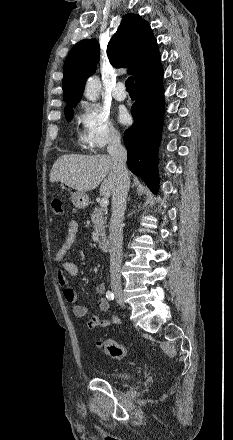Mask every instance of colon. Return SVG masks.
<instances>
[{
	"label": "colon",
	"instance_id": "5ec220e1",
	"mask_svg": "<svg viewBox=\"0 0 233 440\" xmlns=\"http://www.w3.org/2000/svg\"><path fill=\"white\" fill-rule=\"evenodd\" d=\"M51 207L54 216H61L63 214V203L61 200H53ZM97 346L102 349L107 356L114 359H124L129 355V350L124 345L112 339L99 340Z\"/></svg>",
	"mask_w": 233,
	"mask_h": 440
}]
</instances>
